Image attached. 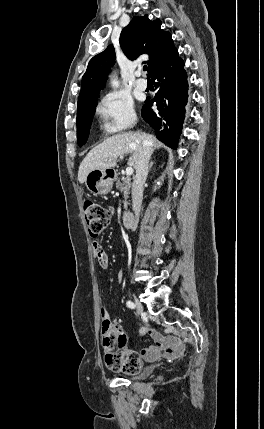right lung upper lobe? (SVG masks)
I'll use <instances>...</instances> for the list:
<instances>
[{"label": "right lung upper lobe", "mask_w": 264, "mask_h": 429, "mask_svg": "<svg viewBox=\"0 0 264 429\" xmlns=\"http://www.w3.org/2000/svg\"><path fill=\"white\" fill-rule=\"evenodd\" d=\"M161 21L148 19V16L134 17L120 34V46L131 60L141 54H148V73H151L174 51L173 40L169 32L163 31ZM115 61L113 45L94 56L82 78L78 106L97 100L107 74Z\"/></svg>", "instance_id": "right-lung-upper-lobe-1"}]
</instances>
